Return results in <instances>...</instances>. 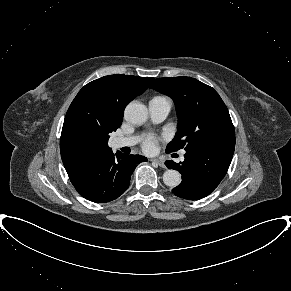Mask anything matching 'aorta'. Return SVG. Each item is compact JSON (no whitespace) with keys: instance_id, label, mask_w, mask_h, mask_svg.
Returning <instances> with one entry per match:
<instances>
[{"instance_id":"1","label":"aorta","mask_w":291,"mask_h":291,"mask_svg":"<svg viewBox=\"0 0 291 291\" xmlns=\"http://www.w3.org/2000/svg\"><path fill=\"white\" fill-rule=\"evenodd\" d=\"M125 119L136 125L143 124L148 118V109L145 105L137 102L129 103L124 111ZM163 182L168 187H176L181 182V174L174 169H168L163 174Z\"/></svg>"}]
</instances>
